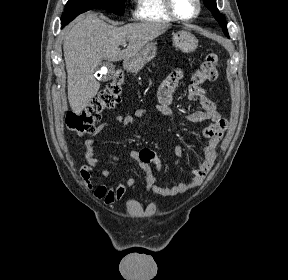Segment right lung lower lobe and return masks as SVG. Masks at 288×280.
<instances>
[{
  "mask_svg": "<svg viewBox=\"0 0 288 280\" xmlns=\"http://www.w3.org/2000/svg\"><path fill=\"white\" fill-rule=\"evenodd\" d=\"M75 17H76V16H73V17L69 18L68 20L61 21L62 26L67 25V24H68L70 21H72Z\"/></svg>",
  "mask_w": 288,
  "mask_h": 280,
  "instance_id": "right-lung-lower-lobe-1",
  "label": "right lung lower lobe"
}]
</instances>
